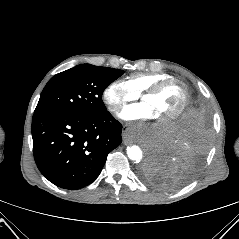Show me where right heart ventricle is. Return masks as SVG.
<instances>
[{
	"label": "right heart ventricle",
	"instance_id": "obj_1",
	"mask_svg": "<svg viewBox=\"0 0 239 239\" xmlns=\"http://www.w3.org/2000/svg\"><path fill=\"white\" fill-rule=\"evenodd\" d=\"M172 78L166 73H136L126 78V85L140 95L145 89L159 81Z\"/></svg>",
	"mask_w": 239,
	"mask_h": 239
}]
</instances>
